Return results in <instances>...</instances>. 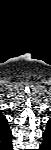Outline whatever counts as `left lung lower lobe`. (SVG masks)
<instances>
[{
	"instance_id": "left-lung-lower-lobe-1",
	"label": "left lung lower lobe",
	"mask_w": 51,
	"mask_h": 150,
	"mask_svg": "<svg viewBox=\"0 0 51 150\" xmlns=\"http://www.w3.org/2000/svg\"><path fill=\"white\" fill-rule=\"evenodd\" d=\"M48 125H51V122L48 121ZM51 141V130L45 131L43 133V143L42 147H46Z\"/></svg>"
}]
</instances>
